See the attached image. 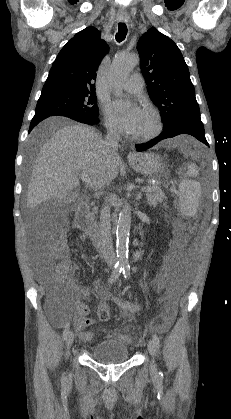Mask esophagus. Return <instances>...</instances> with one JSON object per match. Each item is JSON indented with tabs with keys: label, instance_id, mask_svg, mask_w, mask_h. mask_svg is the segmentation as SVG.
Segmentation results:
<instances>
[{
	"label": "esophagus",
	"instance_id": "esophagus-1",
	"mask_svg": "<svg viewBox=\"0 0 231 419\" xmlns=\"http://www.w3.org/2000/svg\"><path fill=\"white\" fill-rule=\"evenodd\" d=\"M133 157H134V154L130 152V153L128 154V159H132Z\"/></svg>",
	"mask_w": 231,
	"mask_h": 419
}]
</instances>
